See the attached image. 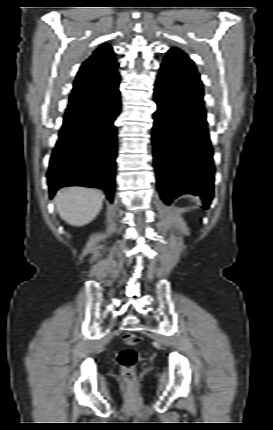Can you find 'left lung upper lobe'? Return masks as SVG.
<instances>
[{
    "label": "left lung upper lobe",
    "mask_w": 273,
    "mask_h": 430,
    "mask_svg": "<svg viewBox=\"0 0 273 430\" xmlns=\"http://www.w3.org/2000/svg\"><path fill=\"white\" fill-rule=\"evenodd\" d=\"M160 73L169 78L171 82H176L181 93L192 95L204 103V90L200 75L192 60L182 50L171 48L166 53Z\"/></svg>",
    "instance_id": "obj_1"
}]
</instances>
